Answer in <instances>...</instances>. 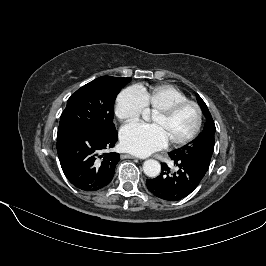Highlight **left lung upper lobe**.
Returning <instances> with one entry per match:
<instances>
[{
    "label": "left lung upper lobe",
    "mask_w": 266,
    "mask_h": 266,
    "mask_svg": "<svg viewBox=\"0 0 266 266\" xmlns=\"http://www.w3.org/2000/svg\"><path fill=\"white\" fill-rule=\"evenodd\" d=\"M197 101L206 116V123L200 135L189 144L172 153L179 160L191 165L201 174L205 175L209 168L212 153L214 151L215 124L212 116L202 98L197 94Z\"/></svg>",
    "instance_id": "5c2ea615"
}]
</instances>
